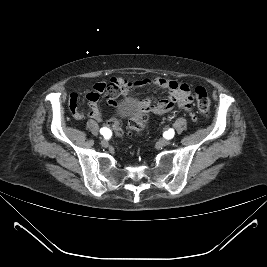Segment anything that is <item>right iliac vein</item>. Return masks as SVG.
Segmentation results:
<instances>
[{
    "instance_id": "63e3f726",
    "label": "right iliac vein",
    "mask_w": 267,
    "mask_h": 267,
    "mask_svg": "<svg viewBox=\"0 0 267 267\" xmlns=\"http://www.w3.org/2000/svg\"><path fill=\"white\" fill-rule=\"evenodd\" d=\"M101 145H102L103 147H108L109 143H108L107 140L103 139V140H101Z\"/></svg>"
}]
</instances>
